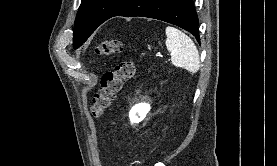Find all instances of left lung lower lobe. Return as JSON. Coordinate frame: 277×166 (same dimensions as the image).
<instances>
[{"label":"left lung lower lobe","instance_id":"1","mask_svg":"<svg viewBox=\"0 0 277 166\" xmlns=\"http://www.w3.org/2000/svg\"><path fill=\"white\" fill-rule=\"evenodd\" d=\"M114 16L162 20L189 31L199 41L198 18L192 0H133Z\"/></svg>","mask_w":277,"mask_h":166}]
</instances>
